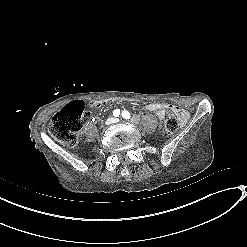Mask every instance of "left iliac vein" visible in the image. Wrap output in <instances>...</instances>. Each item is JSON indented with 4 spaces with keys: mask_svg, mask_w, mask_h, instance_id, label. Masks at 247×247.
I'll return each mask as SVG.
<instances>
[{
    "mask_svg": "<svg viewBox=\"0 0 247 247\" xmlns=\"http://www.w3.org/2000/svg\"><path fill=\"white\" fill-rule=\"evenodd\" d=\"M114 122H119V119H115Z\"/></svg>",
    "mask_w": 247,
    "mask_h": 247,
    "instance_id": "1",
    "label": "left iliac vein"
}]
</instances>
